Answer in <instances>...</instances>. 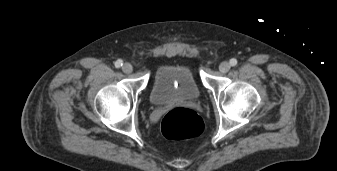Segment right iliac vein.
Returning a JSON list of instances; mask_svg holds the SVG:
<instances>
[{
  "mask_svg": "<svg viewBox=\"0 0 337 171\" xmlns=\"http://www.w3.org/2000/svg\"><path fill=\"white\" fill-rule=\"evenodd\" d=\"M132 70H133V68H132V65L130 64V63H125V64H123V66H122V71L124 72V73H131L132 72Z\"/></svg>",
  "mask_w": 337,
  "mask_h": 171,
  "instance_id": "obj_1",
  "label": "right iliac vein"
}]
</instances>
